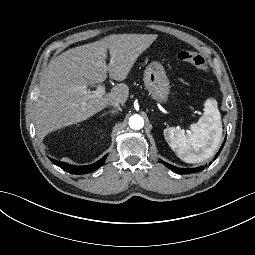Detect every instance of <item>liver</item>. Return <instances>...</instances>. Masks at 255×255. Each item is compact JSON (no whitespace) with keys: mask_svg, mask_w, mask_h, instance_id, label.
<instances>
[{"mask_svg":"<svg viewBox=\"0 0 255 255\" xmlns=\"http://www.w3.org/2000/svg\"><path fill=\"white\" fill-rule=\"evenodd\" d=\"M157 37V34L109 35L69 49L52 59L37 101V136L42 139L52 131L84 121L112 101L124 105L129 95V88L124 83L117 84L101 98L86 99L82 88L105 81L107 72L111 79H126L139 55ZM107 49L111 57L108 65L105 62Z\"/></svg>","mask_w":255,"mask_h":255,"instance_id":"obj_1","label":"liver"}]
</instances>
